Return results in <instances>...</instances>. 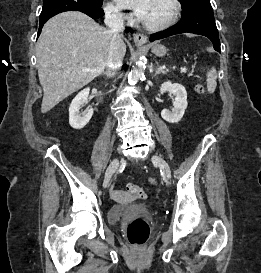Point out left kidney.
<instances>
[{
    "instance_id": "left-kidney-1",
    "label": "left kidney",
    "mask_w": 261,
    "mask_h": 273,
    "mask_svg": "<svg viewBox=\"0 0 261 273\" xmlns=\"http://www.w3.org/2000/svg\"><path fill=\"white\" fill-rule=\"evenodd\" d=\"M170 92L176 96L173 103L172 111L163 109L161 112L162 118L169 123H178L187 108V92L185 88L179 83L165 82L161 85L160 93Z\"/></svg>"
}]
</instances>
